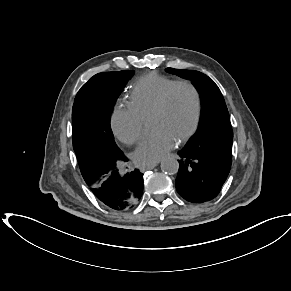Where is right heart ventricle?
Here are the masks:
<instances>
[{"instance_id": "e07e8e85", "label": "right heart ventricle", "mask_w": 291, "mask_h": 291, "mask_svg": "<svg viewBox=\"0 0 291 291\" xmlns=\"http://www.w3.org/2000/svg\"><path fill=\"white\" fill-rule=\"evenodd\" d=\"M174 82L169 77L148 73L134 82L127 105L145 121L160 103L163 93Z\"/></svg>"}]
</instances>
